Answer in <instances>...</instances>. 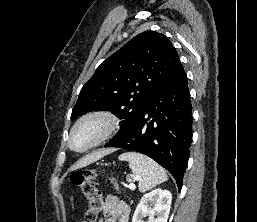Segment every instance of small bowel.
<instances>
[{
	"label": "small bowel",
	"instance_id": "small-bowel-1",
	"mask_svg": "<svg viewBox=\"0 0 257 222\" xmlns=\"http://www.w3.org/2000/svg\"><path fill=\"white\" fill-rule=\"evenodd\" d=\"M104 222H129L130 209L116 196L108 195L104 200Z\"/></svg>",
	"mask_w": 257,
	"mask_h": 222
}]
</instances>
